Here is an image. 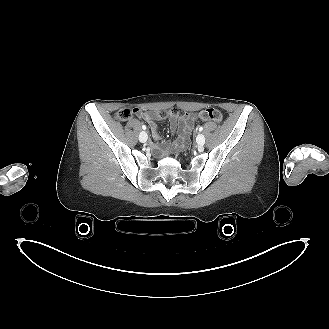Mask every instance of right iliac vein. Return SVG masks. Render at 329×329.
<instances>
[{
	"label": "right iliac vein",
	"instance_id": "obj_1",
	"mask_svg": "<svg viewBox=\"0 0 329 329\" xmlns=\"http://www.w3.org/2000/svg\"><path fill=\"white\" fill-rule=\"evenodd\" d=\"M147 138H148V135L145 131H142L140 134H139V141L144 143L147 141Z\"/></svg>",
	"mask_w": 329,
	"mask_h": 329
}]
</instances>
